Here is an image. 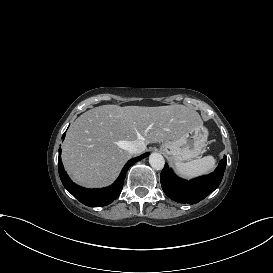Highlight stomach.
I'll list each match as a JSON object with an SVG mask.
<instances>
[{
	"mask_svg": "<svg viewBox=\"0 0 273 273\" xmlns=\"http://www.w3.org/2000/svg\"><path fill=\"white\" fill-rule=\"evenodd\" d=\"M210 130L202 123L191 127L177 139L164 141L161 150L176 162L197 158L208 142Z\"/></svg>",
	"mask_w": 273,
	"mask_h": 273,
	"instance_id": "obj_1",
	"label": "stomach"
}]
</instances>
